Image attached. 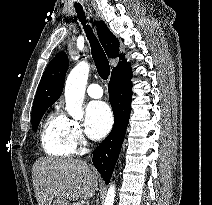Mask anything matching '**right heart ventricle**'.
<instances>
[{"label":"right heart ventricle","mask_w":212,"mask_h":205,"mask_svg":"<svg viewBox=\"0 0 212 205\" xmlns=\"http://www.w3.org/2000/svg\"><path fill=\"white\" fill-rule=\"evenodd\" d=\"M40 140L44 152L50 156L69 157L75 152L68 118L58 112L50 113L44 120Z\"/></svg>","instance_id":"1"}]
</instances>
